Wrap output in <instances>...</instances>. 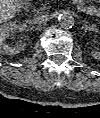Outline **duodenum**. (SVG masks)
<instances>
[{
    "mask_svg": "<svg viewBox=\"0 0 100 118\" xmlns=\"http://www.w3.org/2000/svg\"><path fill=\"white\" fill-rule=\"evenodd\" d=\"M76 5L78 6V0H75ZM26 4H23V7H25Z\"/></svg>",
    "mask_w": 100,
    "mask_h": 118,
    "instance_id": "1",
    "label": "duodenum"
}]
</instances>
